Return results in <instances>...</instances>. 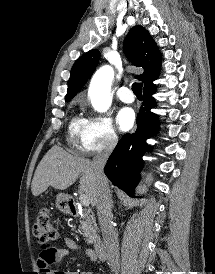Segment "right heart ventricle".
Returning a JSON list of instances; mask_svg holds the SVG:
<instances>
[{
    "instance_id": "1",
    "label": "right heart ventricle",
    "mask_w": 215,
    "mask_h": 274,
    "mask_svg": "<svg viewBox=\"0 0 215 274\" xmlns=\"http://www.w3.org/2000/svg\"><path fill=\"white\" fill-rule=\"evenodd\" d=\"M85 127V119L74 117L69 125V134L73 140L79 139Z\"/></svg>"
}]
</instances>
